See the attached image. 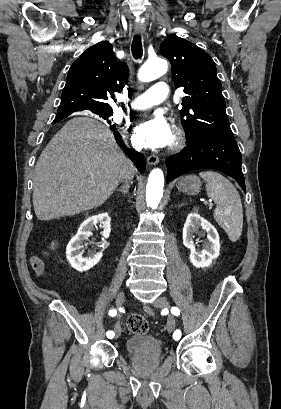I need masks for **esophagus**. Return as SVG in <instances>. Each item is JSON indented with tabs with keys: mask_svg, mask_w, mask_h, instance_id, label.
Returning <instances> with one entry per match:
<instances>
[{
	"mask_svg": "<svg viewBox=\"0 0 281 409\" xmlns=\"http://www.w3.org/2000/svg\"><path fill=\"white\" fill-rule=\"evenodd\" d=\"M136 33L143 34L144 32L137 31ZM147 162L149 165H157L159 162V157H157L156 155H150L147 159Z\"/></svg>",
	"mask_w": 281,
	"mask_h": 409,
	"instance_id": "1",
	"label": "esophagus"
}]
</instances>
